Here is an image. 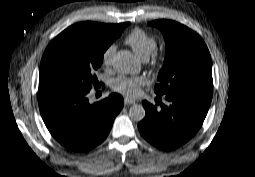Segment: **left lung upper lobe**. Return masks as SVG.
I'll return each instance as SVG.
<instances>
[{
  "mask_svg": "<svg viewBox=\"0 0 255 177\" xmlns=\"http://www.w3.org/2000/svg\"><path fill=\"white\" fill-rule=\"evenodd\" d=\"M165 38L166 55L158 75V95L185 88L213 89L210 53L202 38L188 27L171 20H156Z\"/></svg>",
  "mask_w": 255,
  "mask_h": 177,
  "instance_id": "1",
  "label": "left lung upper lobe"
}]
</instances>
